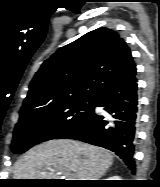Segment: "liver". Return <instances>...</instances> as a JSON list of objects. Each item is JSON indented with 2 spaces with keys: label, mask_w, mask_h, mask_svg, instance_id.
I'll list each match as a JSON object with an SVG mask.
<instances>
[{
  "label": "liver",
  "mask_w": 160,
  "mask_h": 187,
  "mask_svg": "<svg viewBox=\"0 0 160 187\" xmlns=\"http://www.w3.org/2000/svg\"><path fill=\"white\" fill-rule=\"evenodd\" d=\"M113 163L104 148L75 140H52L27 151L18 161L14 179H58L74 172L76 180H99Z\"/></svg>",
  "instance_id": "6515ba94"
}]
</instances>
